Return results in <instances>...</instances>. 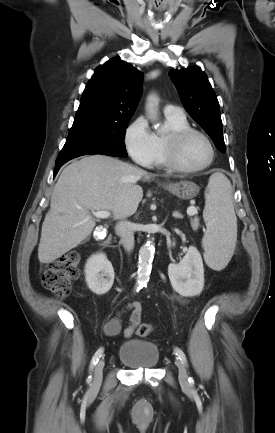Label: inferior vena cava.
I'll use <instances>...</instances> for the list:
<instances>
[{
    "label": "inferior vena cava",
    "mask_w": 275,
    "mask_h": 433,
    "mask_svg": "<svg viewBox=\"0 0 275 433\" xmlns=\"http://www.w3.org/2000/svg\"><path fill=\"white\" fill-rule=\"evenodd\" d=\"M115 232L120 237L124 249L131 251L134 248L133 224L127 220L119 221L115 226Z\"/></svg>",
    "instance_id": "602c4592"
}]
</instances>
